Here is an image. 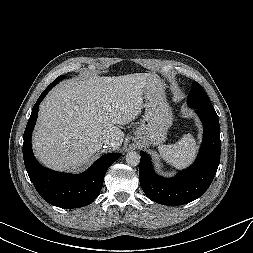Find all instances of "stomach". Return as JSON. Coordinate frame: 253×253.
Here are the masks:
<instances>
[{
    "instance_id": "obj_1",
    "label": "stomach",
    "mask_w": 253,
    "mask_h": 253,
    "mask_svg": "<svg viewBox=\"0 0 253 253\" xmlns=\"http://www.w3.org/2000/svg\"><path fill=\"white\" fill-rule=\"evenodd\" d=\"M144 99L145 113L140 126L134 133L133 140L147 146H157L166 140L168 129L173 122L163 82L146 87Z\"/></svg>"
}]
</instances>
